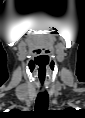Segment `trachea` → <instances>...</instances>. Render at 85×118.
I'll return each instance as SVG.
<instances>
[{
    "label": "trachea",
    "instance_id": "1",
    "mask_svg": "<svg viewBox=\"0 0 85 118\" xmlns=\"http://www.w3.org/2000/svg\"><path fill=\"white\" fill-rule=\"evenodd\" d=\"M48 107V93L46 91L39 92L36 98L37 111L45 110Z\"/></svg>",
    "mask_w": 85,
    "mask_h": 118
}]
</instances>
